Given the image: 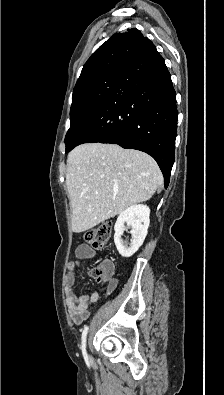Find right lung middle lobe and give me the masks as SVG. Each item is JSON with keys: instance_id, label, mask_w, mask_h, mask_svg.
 Instances as JSON below:
<instances>
[{"instance_id": "1", "label": "right lung middle lobe", "mask_w": 224, "mask_h": 395, "mask_svg": "<svg viewBox=\"0 0 224 395\" xmlns=\"http://www.w3.org/2000/svg\"><path fill=\"white\" fill-rule=\"evenodd\" d=\"M120 75L121 72L106 74L74 90L70 110L71 125L65 137L66 153L105 103Z\"/></svg>"}]
</instances>
